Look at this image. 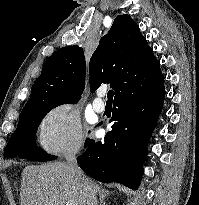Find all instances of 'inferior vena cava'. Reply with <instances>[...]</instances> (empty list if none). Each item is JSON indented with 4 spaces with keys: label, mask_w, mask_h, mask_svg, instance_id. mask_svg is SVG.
<instances>
[{
    "label": "inferior vena cava",
    "mask_w": 199,
    "mask_h": 205,
    "mask_svg": "<svg viewBox=\"0 0 199 205\" xmlns=\"http://www.w3.org/2000/svg\"><path fill=\"white\" fill-rule=\"evenodd\" d=\"M76 155H77V151H71L70 153H68V155L66 156L67 162L69 167L71 168L72 172L78 177V178H82L83 174L76 162Z\"/></svg>",
    "instance_id": "inferior-vena-cava-1"
}]
</instances>
